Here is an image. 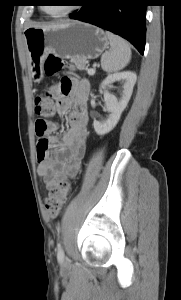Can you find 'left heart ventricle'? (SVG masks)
Instances as JSON below:
<instances>
[{"mask_svg": "<svg viewBox=\"0 0 181 300\" xmlns=\"http://www.w3.org/2000/svg\"><path fill=\"white\" fill-rule=\"evenodd\" d=\"M48 2L53 3V4H58V5L50 4V5L45 6V9L50 14H59V13L65 11L69 7L68 3H70V1H57V0L56 1L52 0V1H48Z\"/></svg>", "mask_w": 181, "mask_h": 300, "instance_id": "b2bd125f", "label": "left heart ventricle"}]
</instances>
